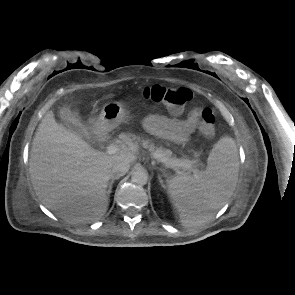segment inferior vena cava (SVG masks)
Masks as SVG:
<instances>
[{"instance_id":"602c4592","label":"inferior vena cava","mask_w":295,"mask_h":295,"mask_svg":"<svg viewBox=\"0 0 295 295\" xmlns=\"http://www.w3.org/2000/svg\"><path fill=\"white\" fill-rule=\"evenodd\" d=\"M130 164L126 161H118L112 167V173L116 176H123L129 170Z\"/></svg>"}]
</instances>
